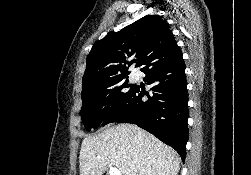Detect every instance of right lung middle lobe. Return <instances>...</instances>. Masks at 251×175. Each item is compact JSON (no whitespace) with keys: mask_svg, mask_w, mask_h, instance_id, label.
I'll list each match as a JSON object with an SVG mask.
<instances>
[{"mask_svg":"<svg viewBox=\"0 0 251 175\" xmlns=\"http://www.w3.org/2000/svg\"><path fill=\"white\" fill-rule=\"evenodd\" d=\"M124 78H127V76L119 77L102 86L82 88V108L80 115L87 131H90L91 128H97L106 115L133 90L132 87L129 90L124 89L130 87L127 84L128 80H126L120 87L110 88ZM111 104L115 105L110 108L108 106L103 108L105 105Z\"/></svg>","mask_w":251,"mask_h":175,"instance_id":"right-lung-middle-lobe-1","label":"right lung middle lobe"}]
</instances>
